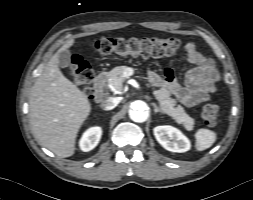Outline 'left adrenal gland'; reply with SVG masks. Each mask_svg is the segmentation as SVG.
Segmentation results:
<instances>
[{
    "mask_svg": "<svg viewBox=\"0 0 253 200\" xmlns=\"http://www.w3.org/2000/svg\"><path fill=\"white\" fill-rule=\"evenodd\" d=\"M153 107H154V111L157 113V112H160V113H162V111L159 109V107L155 104V103H153Z\"/></svg>",
    "mask_w": 253,
    "mask_h": 200,
    "instance_id": "a2214340",
    "label": "left adrenal gland"
}]
</instances>
